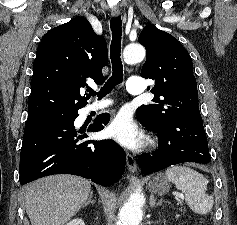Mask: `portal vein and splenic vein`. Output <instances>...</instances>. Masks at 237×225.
<instances>
[{"label": "portal vein and splenic vein", "instance_id": "portal-vein-and-splenic-vein-1", "mask_svg": "<svg viewBox=\"0 0 237 225\" xmlns=\"http://www.w3.org/2000/svg\"><path fill=\"white\" fill-rule=\"evenodd\" d=\"M179 197H180V198H183V195H182V194H179Z\"/></svg>", "mask_w": 237, "mask_h": 225}]
</instances>
